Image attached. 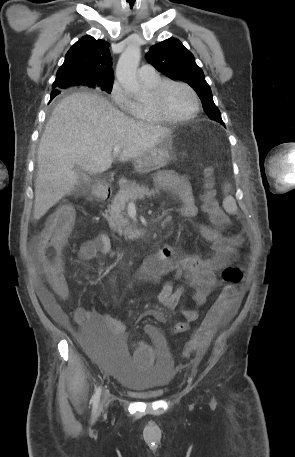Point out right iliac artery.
<instances>
[{"mask_svg": "<svg viewBox=\"0 0 295 457\" xmlns=\"http://www.w3.org/2000/svg\"><path fill=\"white\" fill-rule=\"evenodd\" d=\"M100 395H101V387L97 388L95 394L92 397V403H93L92 413L93 414H96V412L98 410Z\"/></svg>", "mask_w": 295, "mask_h": 457, "instance_id": "obj_1", "label": "right iliac artery"}]
</instances>
